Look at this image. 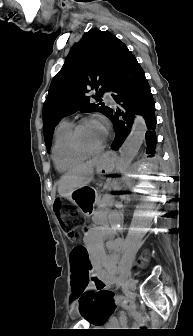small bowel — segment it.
Here are the masks:
<instances>
[{"mask_svg":"<svg viewBox=\"0 0 193 336\" xmlns=\"http://www.w3.org/2000/svg\"><path fill=\"white\" fill-rule=\"evenodd\" d=\"M108 213L105 210L100 212L97 217L99 225L85 236L83 248L87 253L88 261L96 278L109 288L116 282V273L120 260L117 251L121 248L122 242L120 239L112 237L113 229L106 224L110 220ZM106 250H110L113 253L107 254ZM116 323L117 320L115 318H110L107 325L114 326Z\"/></svg>","mask_w":193,"mask_h":336,"instance_id":"c3829d8e","label":"small bowel"}]
</instances>
